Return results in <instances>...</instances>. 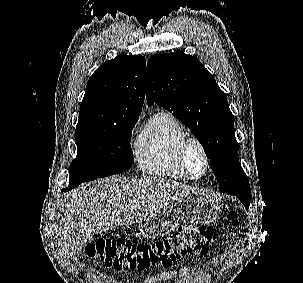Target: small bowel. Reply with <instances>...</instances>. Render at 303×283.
<instances>
[{
  "mask_svg": "<svg viewBox=\"0 0 303 283\" xmlns=\"http://www.w3.org/2000/svg\"><path fill=\"white\" fill-rule=\"evenodd\" d=\"M180 272H186V268H182ZM175 274H177V271L162 272L145 278L142 283H160L172 278Z\"/></svg>",
  "mask_w": 303,
  "mask_h": 283,
  "instance_id": "small-bowel-1",
  "label": "small bowel"
}]
</instances>
